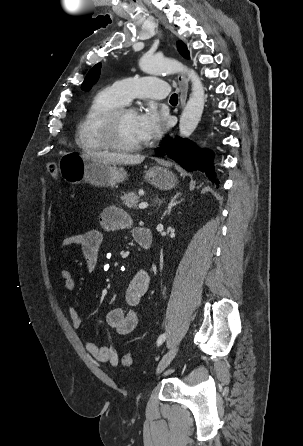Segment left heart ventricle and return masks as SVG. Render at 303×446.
I'll return each instance as SVG.
<instances>
[{"label":"left heart ventricle","instance_id":"left-heart-ventricle-1","mask_svg":"<svg viewBox=\"0 0 303 446\" xmlns=\"http://www.w3.org/2000/svg\"><path fill=\"white\" fill-rule=\"evenodd\" d=\"M136 116L137 113L134 110H129L122 115L117 135L121 143L138 144L143 142L137 132Z\"/></svg>","mask_w":303,"mask_h":446}]
</instances>
